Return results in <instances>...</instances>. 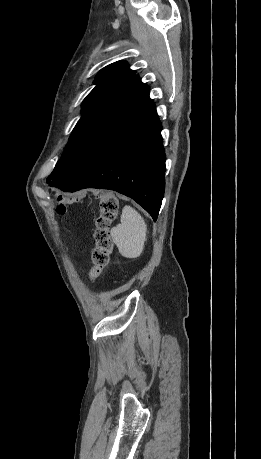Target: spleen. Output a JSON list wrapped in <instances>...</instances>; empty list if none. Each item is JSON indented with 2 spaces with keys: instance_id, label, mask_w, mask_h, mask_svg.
<instances>
[{
  "instance_id": "obj_1",
  "label": "spleen",
  "mask_w": 261,
  "mask_h": 459,
  "mask_svg": "<svg viewBox=\"0 0 261 459\" xmlns=\"http://www.w3.org/2000/svg\"><path fill=\"white\" fill-rule=\"evenodd\" d=\"M111 236L123 257L138 258L144 250L147 225L134 208L126 205L122 211L121 223L112 228Z\"/></svg>"
}]
</instances>
